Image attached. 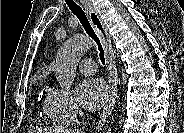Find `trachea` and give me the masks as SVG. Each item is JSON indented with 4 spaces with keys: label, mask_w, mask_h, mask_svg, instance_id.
<instances>
[{
    "label": "trachea",
    "mask_w": 184,
    "mask_h": 133,
    "mask_svg": "<svg viewBox=\"0 0 184 133\" xmlns=\"http://www.w3.org/2000/svg\"><path fill=\"white\" fill-rule=\"evenodd\" d=\"M71 12L76 15L82 24L86 33L95 41L98 46L99 56L102 64H105L104 50L100 42L99 37L96 35L87 15L84 10L74 1V0H65Z\"/></svg>",
    "instance_id": "1"
}]
</instances>
